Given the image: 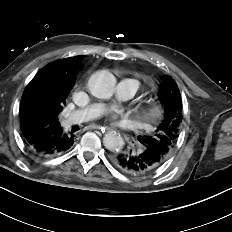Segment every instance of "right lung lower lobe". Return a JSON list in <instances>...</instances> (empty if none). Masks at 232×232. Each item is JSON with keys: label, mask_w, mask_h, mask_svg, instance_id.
Returning a JSON list of instances; mask_svg holds the SVG:
<instances>
[{"label": "right lung lower lobe", "mask_w": 232, "mask_h": 232, "mask_svg": "<svg viewBox=\"0 0 232 232\" xmlns=\"http://www.w3.org/2000/svg\"><path fill=\"white\" fill-rule=\"evenodd\" d=\"M20 125L24 142L38 156L62 154L73 146L76 139L75 135L63 132L61 126L39 130L31 117H20Z\"/></svg>", "instance_id": "right-lung-lower-lobe-1"}]
</instances>
